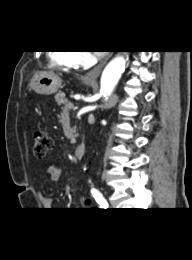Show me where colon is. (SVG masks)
<instances>
[{
  "instance_id": "obj_1",
  "label": "colon",
  "mask_w": 192,
  "mask_h": 260,
  "mask_svg": "<svg viewBox=\"0 0 192 260\" xmlns=\"http://www.w3.org/2000/svg\"><path fill=\"white\" fill-rule=\"evenodd\" d=\"M34 154L38 158H42L51 148V140L49 136L42 130H35L33 133Z\"/></svg>"
}]
</instances>
